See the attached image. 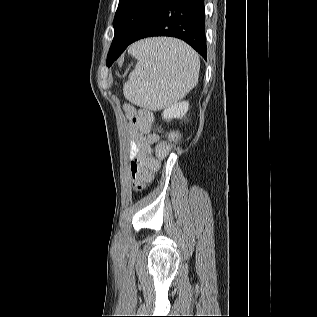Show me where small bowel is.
I'll use <instances>...</instances> for the list:
<instances>
[{
	"label": "small bowel",
	"mask_w": 317,
	"mask_h": 317,
	"mask_svg": "<svg viewBox=\"0 0 317 317\" xmlns=\"http://www.w3.org/2000/svg\"><path fill=\"white\" fill-rule=\"evenodd\" d=\"M124 111L129 119V132L131 135V144H130V158L133 160L141 154H149L152 151V145L159 140L157 134H145L138 130L133 122V116L136 113V109L130 105H124Z\"/></svg>",
	"instance_id": "1"
}]
</instances>
